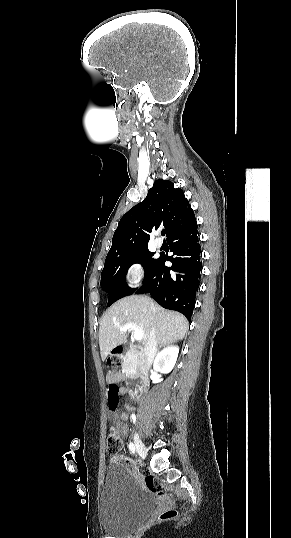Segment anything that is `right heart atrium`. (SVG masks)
I'll list each match as a JSON object with an SVG mask.
<instances>
[{
	"mask_svg": "<svg viewBox=\"0 0 291 538\" xmlns=\"http://www.w3.org/2000/svg\"><path fill=\"white\" fill-rule=\"evenodd\" d=\"M125 275L130 286H136L142 282L145 269L140 261H131L125 268Z\"/></svg>",
	"mask_w": 291,
	"mask_h": 538,
	"instance_id": "right-heart-atrium-1",
	"label": "right heart atrium"
}]
</instances>
